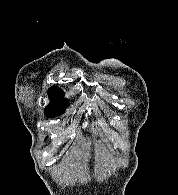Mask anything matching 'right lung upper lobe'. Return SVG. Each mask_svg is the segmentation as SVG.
<instances>
[{
  "label": "right lung upper lobe",
  "mask_w": 178,
  "mask_h": 195,
  "mask_svg": "<svg viewBox=\"0 0 178 195\" xmlns=\"http://www.w3.org/2000/svg\"><path fill=\"white\" fill-rule=\"evenodd\" d=\"M50 104L47 107L66 108L67 100L63 97V91L58 87H51L48 89Z\"/></svg>",
  "instance_id": "obj_1"
}]
</instances>
